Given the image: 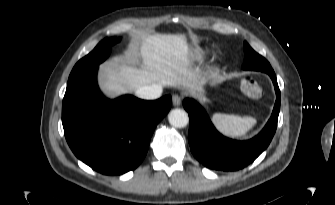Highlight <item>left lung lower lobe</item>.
<instances>
[{
	"label": "left lung lower lobe",
	"instance_id": "1",
	"mask_svg": "<svg viewBox=\"0 0 335 205\" xmlns=\"http://www.w3.org/2000/svg\"><path fill=\"white\" fill-rule=\"evenodd\" d=\"M267 74L274 84L275 106L263 130L247 141L224 137L215 129L205 110L196 101L189 98L183 101L190 119L188 132L190 149L203 165L215 170L236 171L249 165L268 147L277 128L281 94L275 73Z\"/></svg>",
	"mask_w": 335,
	"mask_h": 205
}]
</instances>
